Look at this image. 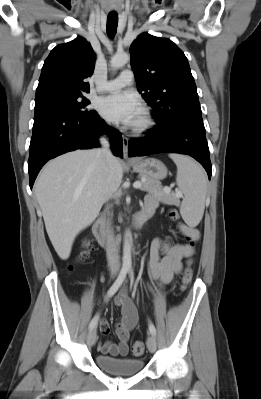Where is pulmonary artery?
<instances>
[{
  "label": "pulmonary artery",
  "instance_id": "e3ab8cb5",
  "mask_svg": "<svg viewBox=\"0 0 261 399\" xmlns=\"http://www.w3.org/2000/svg\"><path fill=\"white\" fill-rule=\"evenodd\" d=\"M132 82L133 72L131 70H123L117 78L109 80L106 83L98 86L97 91L112 92L130 85Z\"/></svg>",
  "mask_w": 261,
  "mask_h": 399
}]
</instances>
